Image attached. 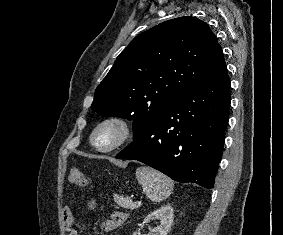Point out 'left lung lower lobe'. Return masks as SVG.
Segmentation results:
<instances>
[{
	"mask_svg": "<svg viewBox=\"0 0 283 235\" xmlns=\"http://www.w3.org/2000/svg\"><path fill=\"white\" fill-rule=\"evenodd\" d=\"M230 101V79L224 64L186 90L116 158L138 160L178 182L213 188Z\"/></svg>",
	"mask_w": 283,
	"mask_h": 235,
	"instance_id": "obj_1",
	"label": "left lung lower lobe"
}]
</instances>
